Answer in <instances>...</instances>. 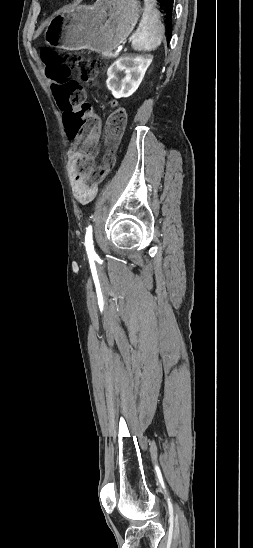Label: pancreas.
I'll return each instance as SVG.
<instances>
[{
  "mask_svg": "<svg viewBox=\"0 0 253 548\" xmlns=\"http://www.w3.org/2000/svg\"><path fill=\"white\" fill-rule=\"evenodd\" d=\"M103 57H105V58H107V59H111V58H114L115 55H114L112 52H110V53H105V54H103Z\"/></svg>",
  "mask_w": 253,
  "mask_h": 548,
  "instance_id": "cf45deb5",
  "label": "pancreas"
}]
</instances>
